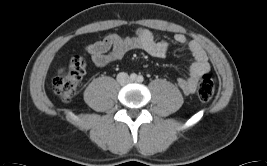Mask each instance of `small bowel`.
<instances>
[{"instance_id": "small-bowel-1", "label": "small bowel", "mask_w": 267, "mask_h": 166, "mask_svg": "<svg viewBox=\"0 0 267 166\" xmlns=\"http://www.w3.org/2000/svg\"><path fill=\"white\" fill-rule=\"evenodd\" d=\"M174 39L177 43L186 45L193 58L189 74L178 78L176 82L185 94H191L195 92L200 78L209 71L210 65L205 51L197 41L188 39L184 34H176ZM169 48L170 44L167 41L157 40L151 30L140 28L135 36L110 34L102 40L88 44L85 50L96 66L105 67L121 60L127 52L134 49L164 58L168 55Z\"/></svg>"}]
</instances>
